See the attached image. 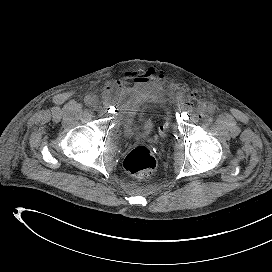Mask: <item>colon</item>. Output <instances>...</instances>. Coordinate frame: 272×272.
<instances>
[{"mask_svg": "<svg viewBox=\"0 0 272 272\" xmlns=\"http://www.w3.org/2000/svg\"><path fill=\"white\" fill-rule=\"evenodd\" d=\"M164 129L162 128V131ZM157 161L154 154L145 146L132 149L124 160L127 172L137 177H147L156 169Z\"/></svg>", "mask_w": 272, "mask_h": 272, "instance_id": "obj_1", "label": "colon"}]
</instances>
